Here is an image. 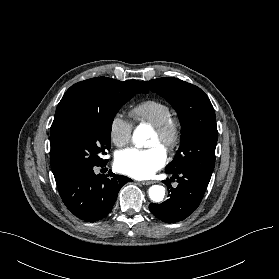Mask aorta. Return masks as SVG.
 Instances as JSON below:
<instances>
[{"label": "aorta", "mask_w": 279, "mask_h": 279, "mask_svg": "<svg viewBox=\"0 0 279 279\" xmlns=\"http://www.w3.org/2000/svg\"><path fill=\"white\" fill-rule=\"evenodd\" d=\"M133 141L138 146H144L147 139V134L141 129L137 128L133 133ZM165 196V188L160 185H153L149 188V197L154 202H161Z\"/></svg>", "instance_id": "aorta-1"}]
</instances>
